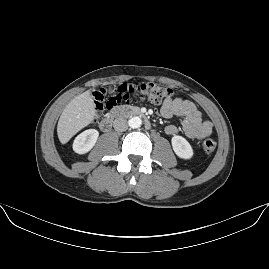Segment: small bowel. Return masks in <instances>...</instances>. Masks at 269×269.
<instances>
[{"instance_id": "small-bowel-1", "label": "small bowel", "mask_w": 269, "mask_h": 269, "mask_svg": "<svg viewBox=\"0 0 269 269\" xmlns=\"http://www.w3.org/2000/svg\"><path fill=\"white\" fill-rule=\"evenodd\" d=\"M159 114L164 118H181L182 129L190 139L203 140L210 136L213 130L212 123L202 119L201 112L196 105L192 101L181 97L167 99L159 109ZM166 133L175 135L177 127L174 125L167 126Z\"/></svg>"}]
</instances>
